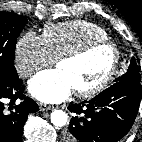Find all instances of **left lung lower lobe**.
Listing matches in <instances>:
<instances>
[{
  "instance_id": "obj_1",
  "label": "left lung lower lobe",
  "mask_w": 142,
  "mask_h": 142,
  "mask_svg": "<svg viewBox=\"0 0 142 142\" xmlns=\"http://www.w3.org/2000/svg\"><path fill=\"white\" fill-rule=\"evenodd\" d=\"M139 79L119 81L90 101L68 107L72 117L65 142H117L131 129L140 104Z\"/></svg>"
}]
</instances>
